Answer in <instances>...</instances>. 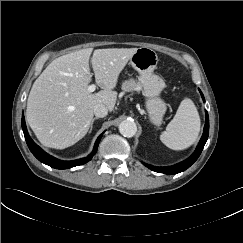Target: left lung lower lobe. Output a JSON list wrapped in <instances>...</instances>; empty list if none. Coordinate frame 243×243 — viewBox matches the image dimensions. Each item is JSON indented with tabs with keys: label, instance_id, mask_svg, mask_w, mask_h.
<instances>
[{
	"label": "left lung lower lobe",
	"instance_id": "1",
	"mask_svg": "<svg viewBox=\"0 0 243 243\" xmlns=\"http://www.w3.org/2000/svg\"><path fill=\"white\" fill-rule=\"evenodd\" d=\"M201 96H202L203 100H205L202 93H201ZM208 135H209V117H208V113L206 112V121H205L204 132H203L202 138H201L195 152L193 153V155L190 158H188L185 161L178 163L174 166H170V167H154V166L147 165V164H145V166H147L149 169L159 172V173H164V174H169V175L180 173V172L186 170L187 168H189L198 159V157L200 156V154L203 150V147L207 141Z\"/></svg>",
	"mask_w": 243,
	"mask_h": 243
}]
</instances>
